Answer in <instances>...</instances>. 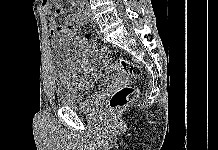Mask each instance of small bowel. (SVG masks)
<instances>
[{
    "mask_svg": "<svg viewBox=\"0 0 218 150\" xmlns=\"http://www.w3.org/2000/svg\"><path fill=\"white\" fill-rule=\"evenodd\" d=\"M60 1L61 0H43L42 8L44 13L48 16L49 32L52 36H58L68 33L66 27L63 25H59L55 20V15L63 12ZM67 1L71 6L74 5L75 0ZM52 6L57 7L55 13H53L52 11Z\"/></svg>",
    "mask_w": 218,
    "mask_h": 150,
    "instance_id": "1",
    "label": "small bowel"
}]
</instances>
